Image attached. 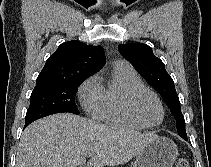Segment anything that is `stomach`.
Segmentation results:
<instances>
[{
    "label": "stomach",
    "instance_id": "0dacf381",
    "mask_svg": "<svg viewBox=\"0 0 211 167\" xmlns=\"http://www.w3.org/2000/svg\"><path fill=\"white\" fill-rule=\"evenodd\" d=\"M178 155L177 145L166 137L155 136L136 156L133 167H173Z\"/></svg>",
    "mask_w": 211,
    "mask_h": 167
}]
</instances>
